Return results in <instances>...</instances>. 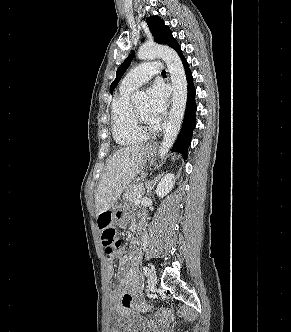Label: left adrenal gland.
Returning <instances> with one entry per match:
<instances>
[{
  "label": "left adrenal gland",
  "mask_w": 291,
  "mask_h": 332,
  "mask_svg": "<svg viewBox=\"0 0 291 332\" xmlns=\"http://www.w3.org/2000/svg\"><path fill=\"white\" fill-rule=\"evenodd\" d=\"M160 178V175L156 177L154 180H149L146 182V188H147V195L149 196L151 194L152 189L154 188L156 181Z\"/></svg>",
  "instance_id": "1"
}]
</instances>
